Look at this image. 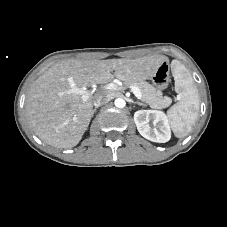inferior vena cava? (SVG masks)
Returning a JSON list of instances; mask_svg holds the SVG:
<instances>
[{"instance_id": "1", "label": "inferior vena cava", "mask_w": 227, "mask_h": 227, "mask_svg": "<svg viewBox=\"0 0 227 227\" xmlns=\"http://www.w3.org/2000/svg\"><path fill=\"white\" fill-rule=\"evenodd\" d=\"M111 99H113L112 94L107 93L104 96H98L93 104L95 107H100L101 105L108 103Z\"/></svg>"}]
</instances>
